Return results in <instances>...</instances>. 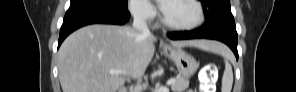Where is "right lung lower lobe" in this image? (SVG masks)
<instances>
[{"label":"right lung lower lobe","instance_id":"98d812e1","mask_svg":"<svg viewBox=\"0 0 296 92\" xmlns=\"http://www.w3.org/2000/svg\"><path fill=\"white\" fill-rule=\"evenodd\" d=\"M130 18L127 7L119 9L96 1H78L71 3L60 29L58 47L74 30L89 24L126 23Z\"/></svg>","mask_w":296,"mask_h":92}]
</instances>
